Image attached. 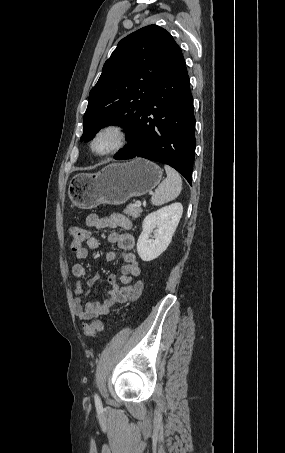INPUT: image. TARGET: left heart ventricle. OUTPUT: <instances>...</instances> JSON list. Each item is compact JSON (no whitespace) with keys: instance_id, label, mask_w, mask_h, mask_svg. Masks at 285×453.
Wrapping results in <instances>:
<instances>
[{"instance_id":"1","label":"left heart ventricle","mask_w":285,"mask_h":453,"mask_svg":"<svg viewBox=\"0 0 285 453\" xmlns=\"http://www.w3.org/2000/svg\"><path fill=\"white\" fill-rule=\"evenodd\" d=\"M116 143V137L111 133H106L100 136L95 144L94 148L97 152L103 153L111 149Z\"/></svg>"}]
</instances>
